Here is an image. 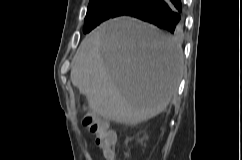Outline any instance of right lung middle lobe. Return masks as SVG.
I'll use <instances>...</instances> for the list:
<instances>
[{"label":"right lung middle lobe","instance_id":"dd1d6c3e","mask_svg":"<svg viewBox=\"0 0 242 160\" xmlns=\"http://www.w3.org/2000/svg\"><path fill=\"white\" fill-rule=\"evenodd\" d=\"M142 1L143 0H90L83 32H90L109 18L125 15Z\"/></svg>","mask_w":242,"mask_h":160}]
</instances>
